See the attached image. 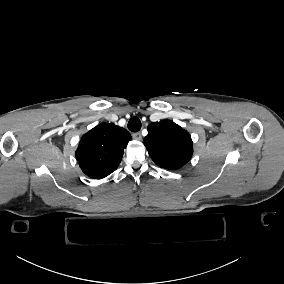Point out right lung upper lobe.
I'll list each match as a JSON object with an SVG mask.
<instances>
[{"label": "right lung upper lobe", "mask_w": 284, "mask_h": 284, "mask_svg": "<svg viewBox=\"0 0 284 284\" xmlns=\"http://www.w3.org/2000/svg\"><path fill=\"white\" fill-rule=\"evenodd\" d=\"M132 139L130 133L113 123H101L84 134L76 150L82 171L94 179H102L115 171L123 150Z\"/></svg>", "instance_id": "1"}]
</instances>
